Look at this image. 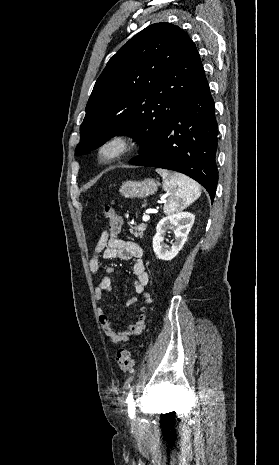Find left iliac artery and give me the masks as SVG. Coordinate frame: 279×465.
I'll list each match as a JSON object with an SVG mask.
<instances>
[{"instance_id": "left-iliac-artery-1", "label": "left iliac artery", "mask_w": 279, "mask_h": 465, "mask_svg": "<svg viewBox=\"0 0 279 465\" xmlns=\"http://www.w3.org/2000/svg\"><path fill=\"white\" fill-rule=\"evenodd\" d=\"M127 403H128V412H129V416L130 418H134L135 416V403L133 401V396H132V392L130 391L128 396H127Z\"/></svg>"}]
</instances>
